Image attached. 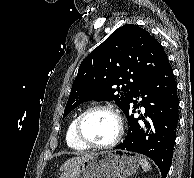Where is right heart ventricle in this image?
I'll list each match as a JSON object with an SVG mask.
<instances>
[{"instance_id":"e07e8e85","label":"right heart ventricle","mask_w":194,"mask_h":178,"mask_svg":"<svg viewBox=\"0 0 194 178\" xmlns=\"http://www.w3.org/2000/svg\"><path fill=\"white\" fill-rule=\"evenodd\" d=\"M77 118H78V116H75L70 121L68 128H67V131H66L65 139H66V143H67L69 148L76 150V151H83V150L87 149L88 147H86L81 142H79L75 136V124H76Z\"/></svg>"}]
</instances>
